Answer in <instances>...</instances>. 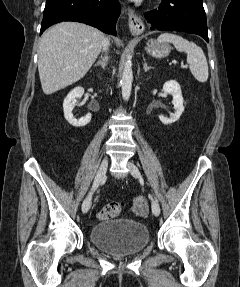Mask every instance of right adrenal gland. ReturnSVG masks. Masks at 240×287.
Here are the masks:
<instances>
[{"mask_svg": "<svg viewBox=\"0 0 240 287\" xmlns=\"http://www.w3.org/2000/svg\"><path fill=\"white\" fill-rule=\"evenodd\" d=\"M108 64V56L105 54L103 57L101 56V59L94 65V66H101L102 69H105V67Z\"/></svg>", "mask_w": 240, "mask_h": 287, "instance_id": "obj_1", "label": "right adrenal gland"}]
</instances>
